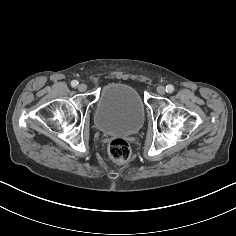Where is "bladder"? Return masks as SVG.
Listing matches in <instances>:
<instances>
[{
  "label": "bladder",
  "instance_id": "bladder-1",
  "mask_svg": "<svg viewBox=\"0 0 236 236\" xmlns=\"http://www.w3.org/2000/svg\"><path fill=\"white\" fill-rule=\"evenodd\" d=\"M144 119V105L134 87L111 82L102 88L94 114V124L100 132L135 133Z\"/></svg>",
  "mask_w": 236,
  "mask_h": 236
}]
</instances>
